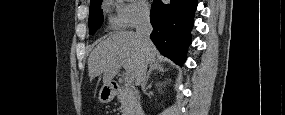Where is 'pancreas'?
I'll return each instance as SVG.
<instances>
[{
  "mask_svg": "<svg viewBox=\"0 0 285 115\" xmlns=\"http://www.w3.org/2000/svg\"><path fill=\"white\" fill-rule=\"evenodd\" d=\"M117 98L121 103L122 115H130L138 104V92L128 83L124 84L117 93Z\"/></svg>",
  "mask_w": 285,
  "mask_h": 115,
  "instance_id": "cf45deb5",
  "label": "pancreas"
}]
</instances>
